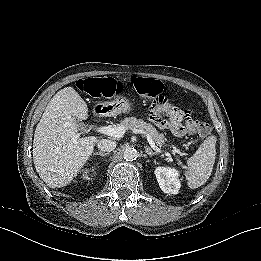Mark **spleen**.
<instances>
[{"label": "spleen", "mask_w": 261, "mask_h": 261, "mask_svg": "<svg viewBox=\"0 0 261 261\" xmlns=\"http://www.w3.org/2000/svg\"><path fill=\"white\" fill-rule=\"evenodd\" d=\"M215 163V149L210 138H207L199 149L187 160L185 171L187 184L195 189L203 185L211 175Z\"/></svg>", "instance_id": "3e777b00"}]
</instances>
